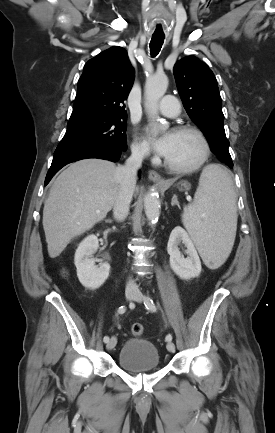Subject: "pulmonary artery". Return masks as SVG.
Masks as SVG:
<instances>
[{
    "label": "pulmonary artery",
    "mask_w": 275,
    "mask_h": 433,
    "mask_svg": "<svg viewBox=\"0 0 275 433\" xmlns=\"http://www.w3.org/2000/svg\"><path fill=\"white\" fill-rule=\"evenodd\" d=\"M158 109L167 117H175L180 113L179 101L176 97L167 95L160 102Z\"/></svg>",
    "instance_id": "e3ab8cb5"
}]
</instances>
